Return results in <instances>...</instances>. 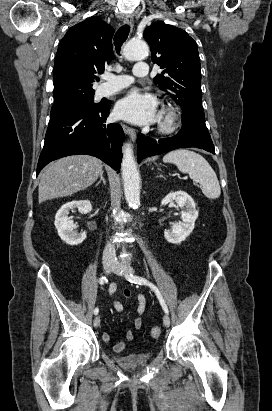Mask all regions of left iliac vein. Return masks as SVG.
I'll return each instance as SVG.
<instances>
[{"mask_svg": "<svg viewBox=\"0 0 272 411\" xmlns=\"http://www.w3.org/2000/svg\"><path fill=\"white\" fill-rule=\"evenodd\" d=\"M112 272H114V273H116V274H118V275H121V276H125V277H126V275L131 274V273H133L134 271H133V269H132L131 267L122 266V265L118 264L117 262H113V270H112ZM163 324H164L166 327H169V326H170V318H169L168 315H164V317H163Z\"/></svg>", "mask_w": 272, "mask_h": 411, "instance_id": "obj_1", "label": "left iliac vein"}]
</instances>
